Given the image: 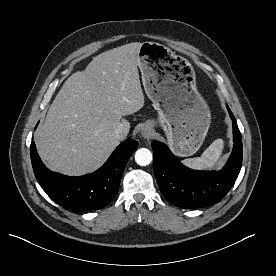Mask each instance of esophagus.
Instances as JSON below:
<instances>
[{"mask_svg": "<svg viewBox=\"0 0 276 276\" xmlns=\"http://www.w3.org/2000/svg\"><path fill=\"white\" fill-rule=\"evenodd\" d=\"M141 135L144 138H149L152 135V131L149 127H144L141 129Z\"/></svg>", "mask_w": 276, "mask_h": 276, "instance_id": "esophagus-1", "label": "esophagus"}]
</instances>
